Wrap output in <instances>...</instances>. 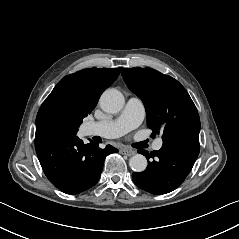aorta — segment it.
Segmentation results:
<instances>
[{
  "instance_id": "obj_1",
  "label": "aorta",
  "mask_w": 239,
  "mask_h": 239,
  "mask_svg": "<svg viewBox=\"0 0 239 239\" xmlns=\"http://www.w3.org/2000/svg\"><path fill=\"white\" fill-rule=\"evenodd\" d=\"M124 96L117 89H107L100 97V107L104 112L115 114L124 106ZM129 166L133 171L142 172L147 167V159L141 154L132 156L129 160Z\"/></svg>"
}]
</instances>
